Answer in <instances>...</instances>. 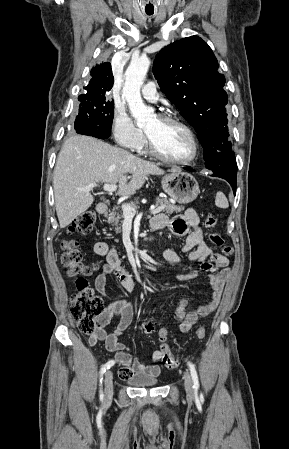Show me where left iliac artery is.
<instances>
[{
	"mask_svg": "<svg viewBox=\"0 0 289 449\" xmlns=\"http://www.w3.org/2000/svg\"><path fill=\"white\" fill-rule=\"evenodd\" d=\"M188 366H189L191 377L193 380V388L195 391H197L199 389V381H198L197 371L195 369V366L191 362H188Z\"/></svg>",
	"mask_w": 289,
	"mask_h": 449,
	"instance_id": "1",
	"label": "left iliac artery"
}]
</instances>
